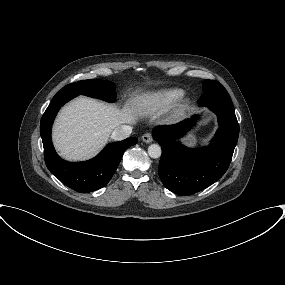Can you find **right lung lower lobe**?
<instances>
[{
	"instance_id": "98d812e1",
	"label": "right lung lower lobe",
	"mask_w": 285,
	"mask_h": 285,
	"mask_svg": "<svg viewBox=\"0 0 285 285\" xmlns=\"http://www.w3.org/2000/svg\"><path fill=\"white\" fill-rule=\"evenodd\" d=\"M74 97L76 96L72 93H56L41 118L40 134L49 171L69 188L80 193H88L104 187L110 181L124 151L135 145L137 138L110 143L100 154L88 161L70 163L61 159L52 144L51 128L60 107Z\"/></svg>"
}]
</instances>
